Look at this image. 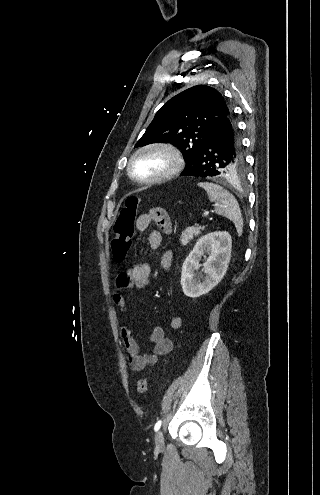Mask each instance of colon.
<instances>
[{
    "label": "colon",
    "mask_w": 320,
    "mask_h": 495,
    "mask_svg": "<svg viewBox=\"0 0 320 495\" xmlns=\"http://www.w3.org/2000/svg\"><path fill=\"white\" fill-rule=\"evenodd\" d=\"M139 203L140 199L137 196L127 197L117 216L111 240V252L116 262H123L129 253ZM148 386V378L143 377L138 381L136 390L139 394H144L147 392Z\"/></svg>",
    "instance_id": "colon-1"
}]
</instances>
